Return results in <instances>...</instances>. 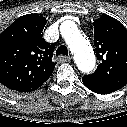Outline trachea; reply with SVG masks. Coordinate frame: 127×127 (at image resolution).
I'll return each mask as SVG.
<instances>
[{
  "label": "trachea",
  "mask_w": 127,
  "mask_h": 127,
  "mask_svg": "<svg viewBox=\"0 0 127 127\" xmlns=\"http://www.w3.org/2000/svg\"><path fill=\"white\" fill-rule=\"evenodd\" d=\"M56 55H65L68 56V49L65 45H61L57 50H56Z\"/></svg>",
  "instance_id": "1"
}]
</instances>
